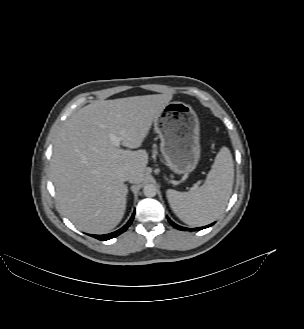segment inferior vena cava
<instances>
[{"instance_id":"602c4592","label":"inferior vena cava","mask_w":304,"mask_h":329,"mask_svg":"<svg viewBox=\"0 0 304 329\" xmlns=\"http://www.w3.org/2000/svg\"><path fill=\"white\" fill-rule=\"evenodd\" d=\"M131 177H132V175L128 171H123L122 173H120V178L122 181H130Z\"/></svg>"}]
</instances>
